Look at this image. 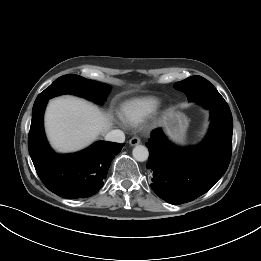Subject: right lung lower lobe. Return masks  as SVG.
Instances as JSON below:
<instances>
[{
  "instance_id": "98d812e1",
  "label": "right lung lower lobe",
  "mask_w": 261,
  "mask_h": 261,
  "mask_svg": "<svg viewBox=\"0 0 261 261\" xmlns=\"http://www.w3.org/2000/svg\"><path fill=\"white\" fill-rule=\"evenodd\" d=\"M48 100L33 106L28 148L38 176L53 193L66 199L86 198L103 186L113 158L123 144L96 142L70 155L54 153L45 138L43 114Z\"/></svg>"
}]
</instances>
